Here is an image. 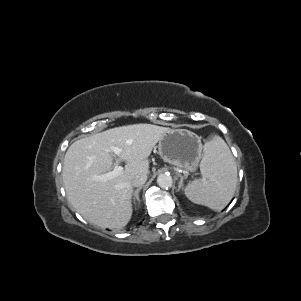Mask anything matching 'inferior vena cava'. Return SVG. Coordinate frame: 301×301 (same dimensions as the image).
<instances>
[{"instance_id": "obj_1", "label": "inferior vena cava", "mask_w": 301, "mask_h": 301, "mask_svg": "<svg viewBox=\"0 0 301 301\" xmlns=\"http://www.w3.org/2000/svg\"><path fill=\"white\" fill-rule=\"evenodd\" d=\"M147 181V174L145 172H139L132 178V186L141 187Z\"/></svg>"}]
</instances>
